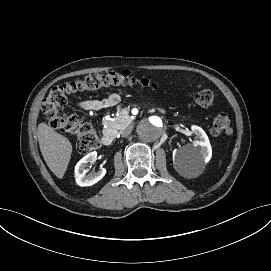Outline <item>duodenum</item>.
<instances>
[{"label":"duodenum","instance_id":"1","mask_svg":"<svg viewBox=\"0 0 271 271\" xmlns=\"http://www.w3.org/2000/svg\"><path fill=\"white\" fill-rule=\"evenodd\" d=\"M101 141L105 146L111 145L114 141V134L110 131L103 133Z\"/></svg>","mask_w":271,"mask_h":271}]
</instances>
